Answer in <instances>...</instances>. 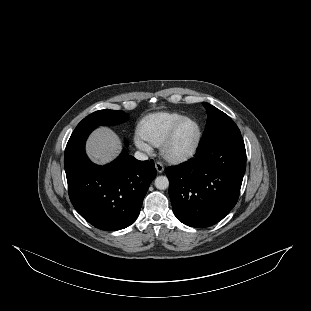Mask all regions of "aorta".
<instances>
[{"label": "aorta", "mask_w": 311, "mask_h": 311, "mask_svg": "<svg viewBox=\"0 0 311 311\" xmlns=\"http://www.w3.org/2000/svg\"><path fill=\"white\" fill-rule=\"evenodd\" d=\"M155 187L160 190H165L169 187V180L166 176H158L155 179Z\"/></svg>", "instance_id": "obj_1"}]
</instances>
